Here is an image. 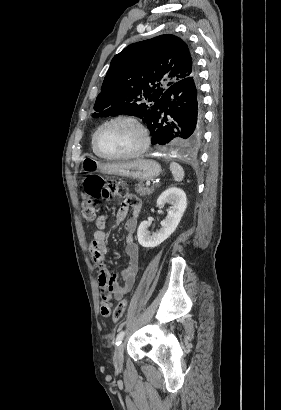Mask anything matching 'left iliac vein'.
Segmentation results:
<instances>
[{"instance_id":"obj_1","label":"left iliac vein","mask_w":281,"mask_h":410,"mask_svg":"<svg viewBox=\"0 0 281 410\" xmlns=\"http://www.w3.org/2000/svg\"><path fill=\"white\" fill-rule=\"evenodd\" d=\"M124 361V343L119 344L114 352L113 363L117 369H121Z\"/></svg>"}]
</instances>
